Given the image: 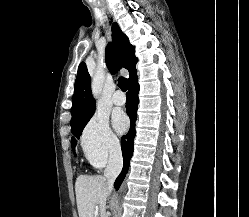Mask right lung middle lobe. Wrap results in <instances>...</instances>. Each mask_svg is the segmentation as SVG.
<instances>
[{
  "label": "right lung middle lobe",
  "mask_w": 249,
  "mask_h": 217,
  "mask_svg": "<svg viewBox=\"0 0 249 217\" xmlns=\"http://www.w3.org/2000/svg\"><path fill=\"white\" fill-rule=\"evenodd\" d=\"M93 113H94V111L89 113L88 115H86L80 121H78V122H76L74 124H71V132L74 135V137H72V147H73L74 154H75V146L77 144L76 138L79 139L83 128L85 127L87 122L90 120Z\"/></svg>",
  "instance_id": "right-lung-middle-lobe-1"
}]
</instances>
